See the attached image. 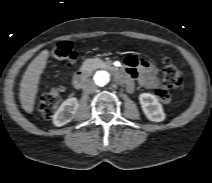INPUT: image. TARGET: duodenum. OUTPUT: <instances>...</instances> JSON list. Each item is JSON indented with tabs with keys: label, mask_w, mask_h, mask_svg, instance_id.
I'll return each mask as SVG.
<instances>
[{
	"label": "duodenum",
	"mask_w": 212,
	"mask_h": 183,
	"mask_svg": "<svg viewBox=\"0 0 212 183\" xmlns=\"http://www.w3.org/2000/svg\"><path fill=\"white\" fill-rule=\"evenodd\" d=\"M89 68L88 67H82L80 70H78L74 76V86L76 88H81L83 87L86 79L88 78L89 76Z\"/></svg>",
	"instance_id": "410a0bca"
}]
</instances>
